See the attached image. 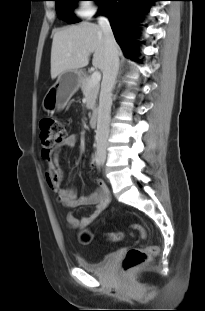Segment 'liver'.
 <instances>
[{"label":"liver","mask_w":205,"mask_h":311,"mask_svg":"<svg viewBox=\"0 0 205 311\" xmlns=\"http://www.w3.org/2000/svg\"><path fill=\"white\" fill-rule=\"evenodd\" d=\"M91 53L92 65L103 71L105 37L99 25L82 22L57 30L51 48V78L55 79L64 71L79 70L87 66Z\"/></svg>","instance_id":"obj_1"}]
</instances>
